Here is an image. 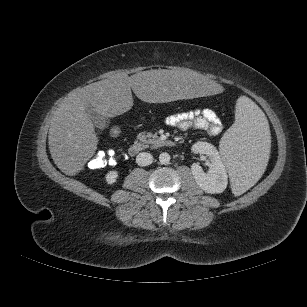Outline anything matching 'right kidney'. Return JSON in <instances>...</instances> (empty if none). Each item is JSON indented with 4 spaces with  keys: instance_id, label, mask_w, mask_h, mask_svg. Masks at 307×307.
I'll return each instance as SVG.
<instances>
[{
    "instance_id": "ca27d5eb",
    "label": "right kidney",
    "mask_w": 307,
    "mask_h": 307,
    "mask_svg": "<svg viewBox=\"0 0 307 307\" xmlns=\"http://www.w3.org/2000/svg\"><path fill=\"white\" fill-rule=\"evenodd\" d=\"M106 182L108 184H114L116 181H117V178H118V172L117 171H109L107 174H106Z\"/></svg>"
}]
</instances>
